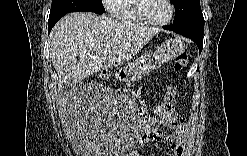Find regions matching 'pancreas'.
Instances as JSON below:
<instances>
[{
	"instance_id": "cf45deb5",
	"label": "pancreas",
	"mask_w": 247,
	"mask_h": 156,
	"mask_svg": "<svg viewBox=\"0 0 247 156\" xmlns=\"http://www.w3.org/2000/svg\"><path fill=\"white\" fill-rule=\"evenodd\" d=\"M147 72L148 71L141 65L134 63L133 67L130 69V75L126 77L125 80L127 83H135L136 81H139Z\"/></svg>"
}]
</instances>
